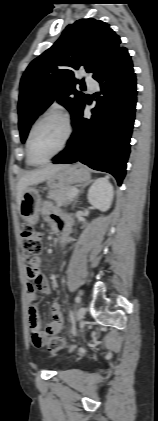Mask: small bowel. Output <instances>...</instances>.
<instances>
[{
	"label": "small bowel",
	"mask_w": 158,
	"mask_h": 421,
	"mask_svg": "<svg viewBox=\"0 0 158 421\" xmlns=\"http://www.w3.org/2000/svg\"><path fill=\"white\" fill-rule=\"evenodd\" d=\"M42 213L45 221L49 223L55 233L61 235L66 241L71 240L72 220L68 214L56 210L50 203L44 204ZM38 265L39 261L32 267H26L28 279L26 293L29 302L28 319L32 341L35 346L40 347L48 336L59 334L62 331L64 315L59 304L53 303L50 307L51 321L44 330L41 329L39 312L34 305V301L37 297V292L48 293L50 287L48 279L40 272ZM35 335H38L41 339L39 344L35 343Z\"/></svg>",
	"instance_id": "small-bowel-1"
}]
</instances>
